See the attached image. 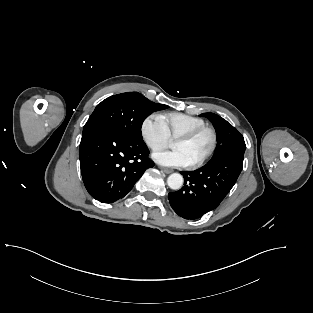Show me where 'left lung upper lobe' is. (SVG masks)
<instances>
[{
    "instance_id": "left-lung-upper-lobe-1",
    "label": "left lung upper lobe",
    "mask_w": 313,
    "mask_h": 313,
    "mask_svg": "<svg viewBox=\"0 0 313 313\" xmlns=\"http://www.w3.org/2000/svg\"><path fill=\"white\" fill-rule=\"evenodd\" d=\"M200 116L207 117L217 132L218 144L210 161L228 154L245 152L243 136L229 122L214 113H203Z\"/></svg>"
}]
</instances>
